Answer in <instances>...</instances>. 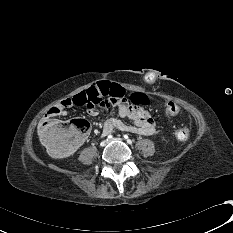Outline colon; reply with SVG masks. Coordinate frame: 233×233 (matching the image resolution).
I'll use <instances>...</instances> for the list:
<instances>
[{
    "instance_id": "5ec220e1",
    "label": "colon",
    "mask_w": 233,
    "mask_h": 233,
    "mask_svg": "<svg viewBox=\"0 0 233 233\" xmlns=\"http://www.w3.org/2000/svg\"><path fill=\"white\" fill-rule=\"evenodd\" d=\"M114 94L115 100L124 93V86L119 81L100 80L95 87L92 86L86 91H82L71 98L75 106H85L93 111L100 99L108 94ZM132 101H137L135 97ZM140 103L145 104L141 98ZM166 116H176L180 108L173 102H168L164 109ZM90 131V123L81 118L74 119L66 124L46 121L39 130V136L50 154L56 158H66L72 155L77 147L84 141ZM174 136L178 140H187L190 136V130L186 127L177 128Z\"/></svg>"
}]
</instances>
